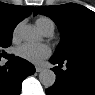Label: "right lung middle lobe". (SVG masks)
I'll return each instance as SVG.
<instances>
[{
    "instance_id": "1",
    "label": "right lung middle lobe",
    "mask_w": 95,
    "mask_h": 95,
    "mask_svg": "<svg viewBox=\"0 0 95 95\" xmlns=\"http://www.w3.org/2000/svg\"><path fill=\"white\" fill-rule=\"evenodd\" d=\"M13 30L0 28V50L11 45ZM0 56H3V54L0 53Z\"/></svg>"
}]
</instances>
